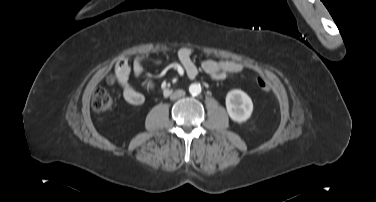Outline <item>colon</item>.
<instances>
[{"mask_svg":"<svg viewBox=\"0 0 376 202\" xmlns=\"http://www.w3.org/2000/svg\"><path fill=\"white\" fill-rule=\"evenodd\" d=\"M113 81L114 79L112 77L108 79L109 83H112ZM256 83L257 86L263 91H268L270 89V82L263 76H259ZM91 105L95 112L104 113L111 109L113 105V98L106 89L100 88L93 94Z\"/></svg>","mask_w":376,"mask_h":202,"instance_id":"colon-1","label":"colon"}]
</instances>
